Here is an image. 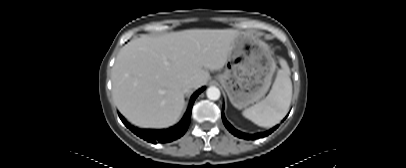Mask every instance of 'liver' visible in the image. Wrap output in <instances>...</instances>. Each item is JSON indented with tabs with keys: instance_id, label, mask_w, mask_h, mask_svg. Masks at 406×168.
I'll return each instance as SVG.
<instances>
[{
	"instance_id": "6515ba94",
	"label": "liver",
	"mask_w": 406,
	"mask_h": 168,
	"mask_svg": "<svg viewBox=\"0 0 406 168\" xmlns=\"http://www.w3.org/2000/svg\"><path fill=\"white\" fill-rule=\"evenodd\" d=\"M238 34L235 29H189L131 40L112 68L118 110L143 128L176 124L185 109L184 84L205 85L208 70H219L227 63Z\"/></svg>"
}]
</instances>
